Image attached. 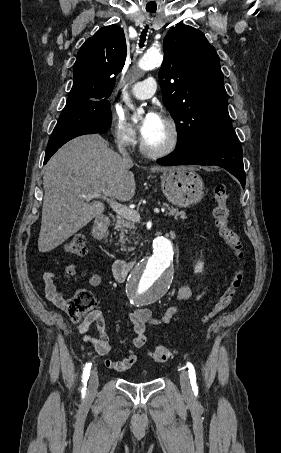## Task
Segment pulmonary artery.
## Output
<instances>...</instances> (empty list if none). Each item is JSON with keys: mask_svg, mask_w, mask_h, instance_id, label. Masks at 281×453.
I'll return each mask as SVG.
<instances>
[{"mask_svg": "<svg viewBox=\"0 0 281 453\" xmlns=\"http://www.w3.org/2000/svg\"><path fill=\"white\" fill-rule=\"evenodd\" d=\"M156 86V80L152 77H148L143 81L137 82L132 87V93L136 98L145 99L150 98L155 90L149 89L150 87Z\"/></svg>", "mask_w": 281, "mask_h": 453, "instance_id": "1", "label": "pulmonary artery"}]
</instances>
